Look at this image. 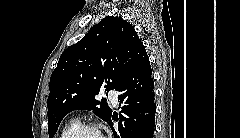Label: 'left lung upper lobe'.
I'll use <instances>...</instances> for the list:
<instances>
[{
    "label": "left lung upper lobe",
    "mask_w": 240,
    "mask_h": 138,
    "mask_svg": "<svg viewBox=\"0 0 240 138\" xmlns=\"http://www.w3.org/2000/svg\"><path fill=\"white\" fill-rule=\"evenodd\" d=\"M141 47L143 43L131 24L121 17L108 16L67 48L50 78L49 138L73 110H93L107 122L112 110L95 96L102 87L106 91L119 88Z\"/></svg>",
    "instance_id": "1"
}]
</instances>
